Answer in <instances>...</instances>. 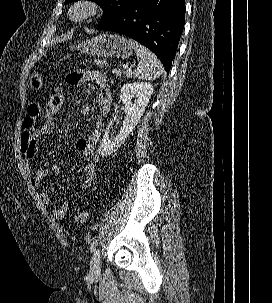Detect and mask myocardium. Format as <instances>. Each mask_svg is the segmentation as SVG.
I'll return each mask as SVG.
<instances>
[{"instance_id":"myocardium-1","label":"myocardium","mask_w":272,"mask_h":303,"mask_svg":"<svg viewBox=\"0 0 272 303\" xmlns=\"http://www.w3.org/2000/svg\"><path fill=\"white\" fill-rule=\"evenodd\" d=\"M102 12L101 5L94 0H77L68 11L70 21L80 23L98 17Z\"/></svg>"}]
</instances>
